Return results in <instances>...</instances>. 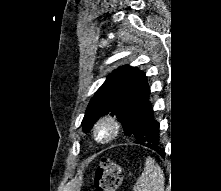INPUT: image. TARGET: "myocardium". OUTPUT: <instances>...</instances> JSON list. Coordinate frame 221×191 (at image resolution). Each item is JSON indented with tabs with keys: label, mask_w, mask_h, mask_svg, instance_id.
<instances>
[{
	"label": "myocardium",
	"mask_w": 221,
	"mask_h": 191,
	"mask_svg": "<svg viewBox=\"0 0 221 191\" xmlns=\"http://www.w3.org/2000/svg\"><path fill=\"white\" fill-rule=\"evenodd\" d=\"M121 131L120 122L113 116H104L94 125V140L101 144H107L115 140Z\"/></svg>",
	"instance_id": "obj_1"
}]
</instances>
